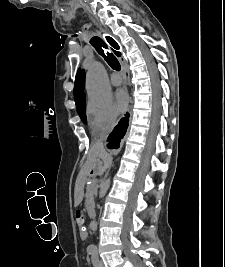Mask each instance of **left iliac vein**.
Here are the masks:
<instances>
[{
    "instance_id": "4c4485c4",
    "label": "left iliac vein",
    "mask_w": 225,
    "mask_h": 267,
    "mask_svg": "<svg viewBox=\"0 0 225 267\" xmlns=\"http://www.w3.org/2000/svg\"><path fill=\"white\" fill-rule=\"evenodd\" d=\"M98 267H105V266H104V263H103L102 260H99V265H98Z\"/></svg>"
}]
</instances>
